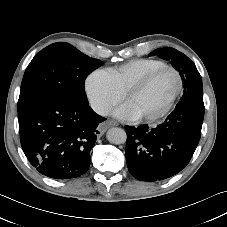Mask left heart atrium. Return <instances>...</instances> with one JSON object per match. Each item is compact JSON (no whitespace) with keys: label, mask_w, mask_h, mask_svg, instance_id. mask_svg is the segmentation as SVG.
Here are the masks:
<instances>
[{"label":"left heart atrium","mask_w":227,"mask_h":227,"mask_svg":"<svg viewBox=\"0 0 227 227\" xmlns=\"http://www.w3.org/2000/svg\"><path fill=\"white\" fill-rule=\"evenodd\" d=\"M114 116H116L119 119L129 121H133L135 118H137L136 114L126 104L119 106L114 111Z\"/></svg>","instance_id":"39dd6f15"}]
</instances>
